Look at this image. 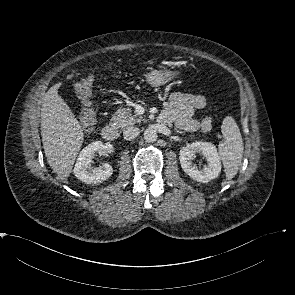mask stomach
I'll return each mask as SVG.
<instances>
[{"label":"stomach","mask_w":295,"mask_h":295,"mask_svg":"<svg viewBox=\"0 0 295 295\" xmlns=\"http://www.w3.org/2000/svg\"><path fill=\"white\" fill-rule=\"evenodd\" d=\"M178 73L168 70H152L145 75L146 81L152 87H159L165 85L173 78L177 77Z\"/></svg>","instance_id":"0dacf381"}]
</instances>
